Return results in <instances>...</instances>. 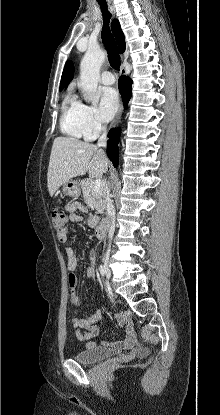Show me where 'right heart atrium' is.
I'll list each match as a JSON object with an SVG mask.
<instances>
[{
    "instance_id": "d8ad5b80",
    "label": "right heart atrium",
    "mask_w": 220,
    "mask_h": 415,
    "mask_svg": "<svg viewBox=\"0 0 220 415\" xmlns=\"http://www.w3.org/2000/svg\"><path fill=\"white\" fill-rule=\"evenodd\" d=\"M82 118L87 137L94 138L103 131L104 126L92 106L82 104Z\"/></svg>"
}]
</instances>
